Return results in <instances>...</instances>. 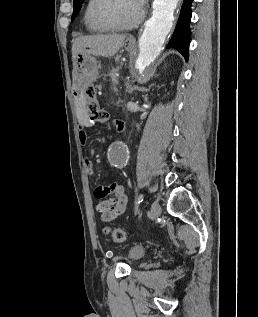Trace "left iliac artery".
<instances>
[{"instance_id": "1", "label": "left iliac artery", "mask_w": 258, "mask_h": 317, "mask_svg": "<svg viewBox=\"0 0 258 317\" xmlns=\"http://www.w3.org/2000/svg\"><path fill=\"white\" fill-rule=\"evenodd\" d=\"M144 200V194H140L137 198L136 204H135V215L138 213L139 205L142 203Z\"/></svg>"}]
</instances>
